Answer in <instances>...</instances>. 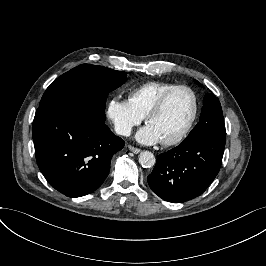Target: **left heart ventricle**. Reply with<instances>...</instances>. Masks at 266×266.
I'll use <instances>...</instances> for the list:
<instances>
[{
    "instance_id": "b2bd125f",
    "label": "left heart ventricle",
    "mask_w": 266,
    "mask_h": 266,
    "mask_svg": "<svg viewBox=\"0 0 266 266\" xmlns=\"http://www.w3.org/2000/svg\"><path fill=\"white\" fill-rule=\"evenodd\" d=\"M194 111L191 93L179 89L171 94L163 110L150 118L149 124L156 130L161 140L177 137L190 121Z\"/></svg>"
}]
</instances>
